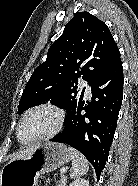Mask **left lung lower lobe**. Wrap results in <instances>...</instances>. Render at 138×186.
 Returning a JSON list of instances; mask_svg holds the SVG:
<instances>
[{"instance_id": "0a47b994", "label": "left lung lower lobe", "mask_w": 138, "mask_h": 186, "mask_svg": "<svg viewBox=\"0 0 138 186\" xmlns=\"http://www.w3.org/2000/svg\"><path fill=\"white\" fill-rule=\"evenodd\" d=\"M91 90V103L85 105L82 100L65 121L63 132L51 141L66 143L80 151L93 165L99 179L108 158L122 103L121 59L91 84ZM82 110H85L84 114Z\"/></svg>"}]
</instances>
